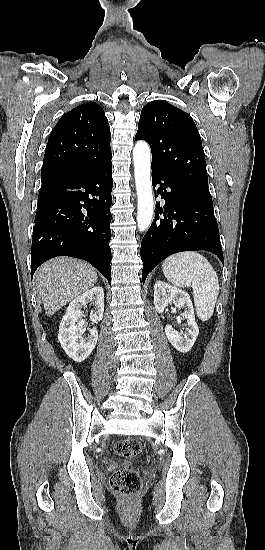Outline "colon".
Listing matches in <instances>:
<instances>
[{"label":"colon","mask_w":265,"mask_h":550,"mask_svg":"<svg viewBox=\"0 0 265 550\" xmlns=\"http://www.w3.org/2000/svg\"><path fill=\"white\" fill-rule=\"evenodd\" d=\"M141 449V443L136 439L121 440L114 445L115 453L127 459L136 458ZM110 487L116 494L131 498L139 492L141 479L132 469H118L111 476Z\"/></svg>","instance_id":"obj_1"}]
</instances>
